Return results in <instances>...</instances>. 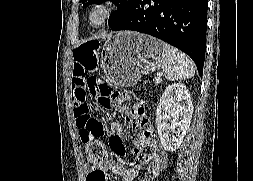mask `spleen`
<instances>
[{
	"label": "spleen",
	"instance_id": "obj_1",
	"mask_svg": "<svg viewBox=\"0 0 253 181\" xmlns=\"http://www.w3.org/2000/svg\"><path fill=\"white\" fill-rule=\"evenodd\" d=\"M162 69L170 81L189 79L195 74L194 62L184 53L167 43H162Z\"/></svg>",
	"mask_w": 253,
	"mask_h": 181
}]
</instances>
